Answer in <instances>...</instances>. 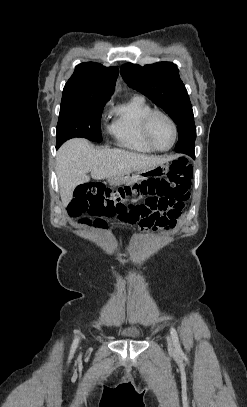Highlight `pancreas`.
Returning a JSON list of instances; mask_svg holds the SVG:
<instances>
[{
  "instance_id": "1",
  "label": "pancreas",
  "mask_w": 247,
  "mask_h": 407,
  "mask_svg": "<svg viewBox=\"0 0 247 407\" xmlns=\"http://www.w3.org/2000/svg\"><path fill=\"white\" fill-rule=\"evenodd\" d=\"M133 182H134V181L131 180V181L128 182V184H132Z\"/></svg>"
}]
</instances>
